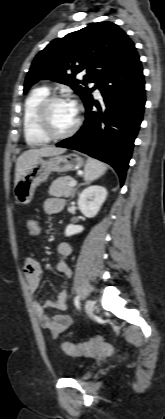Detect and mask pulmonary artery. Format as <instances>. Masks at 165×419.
Instances as JSON below:
<instances>
[{"instance_id":"pulmonary-artery-1","label":"pulmonary artery","mask_w":165,"mask_h":419,"mask_svg":"<svg viewBox=\"0 0 165 419\" xmlns=\"http://www.w3.org/2000/svg\"><path fill=\"white\" fill-rule=\"evenodd\" d=\"M92 85L95 86V83H93ZM95 94L98 95V96L100 95V90L98 88H96Z\"/></svg>"}]
</instances>
